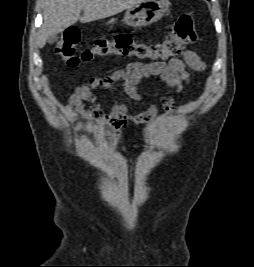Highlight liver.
<instances>
[{
	"label": "liver",
	"mask_w": 254,
	"mask_h": 267,
	"mask_svg": "<svg viewBox=\"0 0 254 267\" xmlns=\"http://www.w3.org/2000/svg\"><path fill=\"white\" fill-rule=\"evenodd\" d=\"M143 0H45L43 24L38 35V46L75 24L92 22L116 15ZM81 10L84 15L80 17Z\"/></svg>",
	"instance_id": "6515ba94"
}]
</instances>
